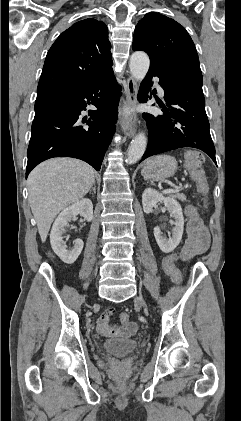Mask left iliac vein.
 <instances>
[{"mask_svg":"<svg viewBox=\"0 0 241 421\" xmlns=\"http://www.w3.org/2000/svg\"><path fill=\"white\" fill-rule=\"evenodd\" d=\"M135 303L143 306L145 309L147 308L146 303L141 296L135 297Z\"/></svg>","mask_w":241,"mask_h":421,"instance_id":"4c4485c4","label":"left iliac vein"}]
</instances>
